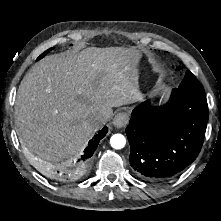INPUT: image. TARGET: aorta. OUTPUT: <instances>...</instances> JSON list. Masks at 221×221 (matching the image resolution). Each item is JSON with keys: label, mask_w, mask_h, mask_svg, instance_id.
<instances>
[{"label": "aorta", "mask_w": 221, "mask_h": 221, "mask_svg": "<svg viewBox=\"0 0 221 221\" xmlns=\"http://www.w3.org/2000/svg\"><path fill=\"white\" fill-rule=\"evenodd\" d=\"M126 144V139L122 134H114L110 138V145L114 149H122Z\"/></svg>", "instance_id": "762f6f07"}]
</instances>
